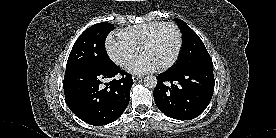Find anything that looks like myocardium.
<instances>
[{
  "label": "myocardium",
  "mask_w": 276,
  "mask_h": 138,
  "mask_svg": "<svg viewBox=\"0 0 276 138\" xmlns=\"http://www.w3.org/2000/svg\"><path fill=\"white\" fill-rule=\"evenodd\" d=\"M165 27H171L175 30L178 42H177V48H176V51H175L173 57L167 63L160 66V69H162V70H166V69L170 68L171 66H173L176 63V61L178 60L179 55L181 53L182 46H183V35H182V31L180 30L178 25L175 24L174 22H169V21L162 22L158 27H156L151 32L149 37L144 41V43L141 46V51H143L146 47L151 45L155 41V39L157 38V36L161 32V30Z\"/></svg>",
  "instance_id": "myocardium-1"
}]
</instances>
